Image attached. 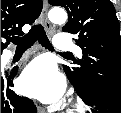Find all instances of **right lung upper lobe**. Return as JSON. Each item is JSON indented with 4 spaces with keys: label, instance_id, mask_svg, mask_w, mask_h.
<instances>
[{
    "label": "right lung upper lobe",
    "instance_id": "1",
    "mask_svg": "<svg viewBox=\"0 0 121 113\" xmlns=\"http://www.w3.org/2000/svg\"><path fill=\"white\" fill-rule=\"evenodd\" d=\"M42 5L40 0H1V53L9 44L3 38L22 35V27L39 17Z\"/></svg>",
    "mask_w": 121,
    "mask_h": 113
}]
</instances>
